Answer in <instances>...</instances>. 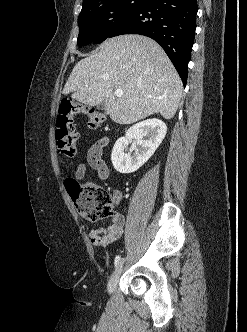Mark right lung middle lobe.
Returning <instances> with one entry per match:
<instances>
[{
	"label": "right lung middle lobe",
	"instance_id": "right-lung-middle-lobe-1",
	"mask_svg": "<svg viewBox=\"0 0 247 332\" xmlns=\"http://www.w3.org/2000/svg\"><path fill=\"white\" fill-rule=\"evenodd\" d=\"M147 0H101L85 9L78 17V46L101 43L125 17L140 8Z\"/></svg>",
	"mask_w": 247,
	"mask_h": 332
}]
</instances>
